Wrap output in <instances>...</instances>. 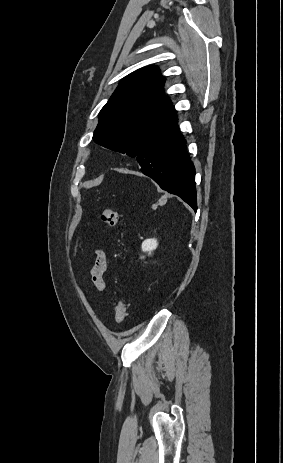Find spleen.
<instances>
[{"label":"spleen","instance_id":"obj_1","mask_svg":"<svg viewBox=\"0 0 283 463\" xmlns=\"http://www.w3.org/2000/svg\"><path fill=\"white\" fill-rule=\"evenodd\" d=\"M167 200V197L166 196H163L160 200H159V203L162 204V203H165Z\"/></svg>","mask_w":283,"mask_h":463}]
</instances>
